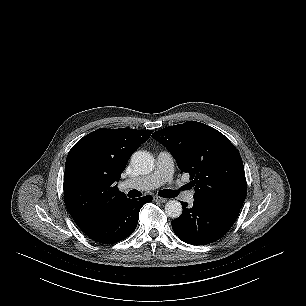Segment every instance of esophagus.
Instances as JSON below:
<instances>
[{"label": "esophagus", "instance_id": "34e87169", "mask_svg": "<svg viewBox=\"0 0 306 306\" xmlns=\"http://www.w3.org/2000/svg\"><path fill=\"white\" fill-rule=\"evenodd\" d=\"M153 200L155 202H159V203H166L167 202L166 198H162V197H159V196H153Z\"/></svg>", "mask_w": 306, "mask_h": 306}]
</instances>
